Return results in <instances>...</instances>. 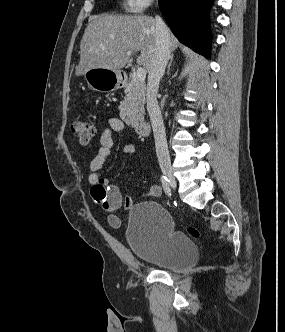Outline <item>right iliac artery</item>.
I'll return each instance as SVG.
<instances>
[{
  "instance_id": "82829eb1",
  "label": "right iliac artery",
  "mask_w": 285,
  "mask_h": 332,
  "mask_svg": "<svg viewBox=\"0 0 285 332\" xmlns=\"http://www.w3.org/2000/svg\"><path fill=\"white\" fill-rule=\"evenodd\" d=\"M161 182H162V186H163V189H164L165 193L168 196H171V189H170L168 177L166 175H162L161 176Z\"/></svg>"
}]
</instances>
